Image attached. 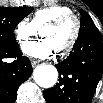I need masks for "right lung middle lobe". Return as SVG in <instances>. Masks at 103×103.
I'll use <instances>...</instances> for the list:
<instances>
[{"label":"right lung middle lobe","mask_w":103,"mask_h":103,"mask_svg":"<svg viewBox=\"0 0 103 103\" xmlns=\"http://www.w3.org/2000/svg\"><path fill=\"white\" fill-rule=\"evenodd\" d=\"M32 10L33 8L28 7H0V45H17L13 33L14 29L24 17L32 12Z\"/></svg>","instance_id":"1"}]
</instances>
